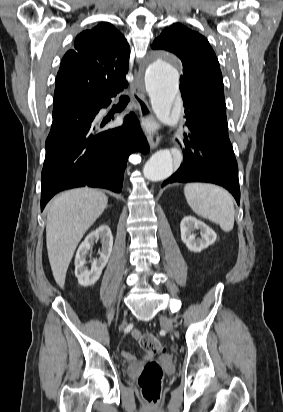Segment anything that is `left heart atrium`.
Here are the masks:
<instances>
[{"label":"left heart atrium","instance_id":"obj_1","mask_svg":"<svg viewBox=\"0 0 283 412\" xmlns=\"http://www.w3.org/2000/svg\"><path fill=\"white\" fill-rule=\"evenodd\" d=\"M146 127H147V128H149V125H148V124H146Z\"/></svg>","mask_w":283,"mask_h":412}]
</instances>
